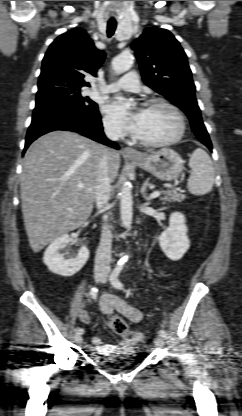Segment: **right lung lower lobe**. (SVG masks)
Here are the masks:
<instances>
[{"label": "right lung lower lobe", "instance_id": "98d812e1", "mask_svg": "<svg viewBox=\"0 0 242 416\" xmlns=\"http://www.w3.org/2000/svg\"><path fill=\"white\" fill-rule=\"evenodd\" d=\"M54 130L78 132L97 142L119 149L115 142L106 138L98 110L82 114L65 107L48 106L34 111L23 152L39 136Z\"/></svg>", "mask_w": 242, "mask_h": 416}]
</instances>
